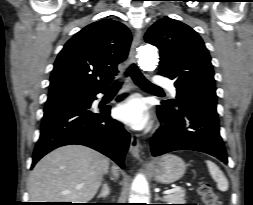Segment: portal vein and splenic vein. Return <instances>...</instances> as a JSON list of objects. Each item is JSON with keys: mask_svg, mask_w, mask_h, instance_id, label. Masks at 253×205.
Segmentation results:
<instances>
[{"mask_svg": "<svg viewBox=\"0 0 253 205\" xmlns=\"http://www.w3.org/2000/svg\"><path fill=\"white\" fill-rule=\"evenodd\" d=\"M180 188L179 187H175V188H172V189H168V190H165L163 192V194H170V193H173L175 192L176 190H179Z\"/></svg>", "mask_w": 253, "mask_h": 205, "instance_id": "portal-vein-and-splenic-vein-1", "label": "portal vein and splenic vein"}]
</instances>
